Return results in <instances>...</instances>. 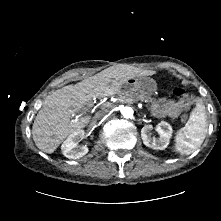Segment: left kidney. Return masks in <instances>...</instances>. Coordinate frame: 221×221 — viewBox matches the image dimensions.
Masks as SVG:
<instances>
[{"mask_svg": "<svg viewBox=\"0 0 221 221\" xmlns=\"http://www.w3.org/2000/svg\"><path fill=\"white\" fill-rule=\"evenodd\" d=\"M153 129L152 125H145L141 129V137L143 143L150 148L164 150L172 136V127L165 121H161L156 126V131L159 134V138H151V130Z\"/></svg>", "mask_w": 221, "mask_h": 221, "instance_id": "1", "label": "left kidney"}]
</instances>
